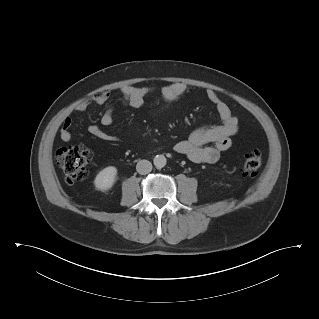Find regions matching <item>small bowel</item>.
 Segmentation results:
<instances>
[{
	"mask_svg": "<svg viewBox=\"0 0 319 319\" xmlns=\"http://www.w3.org/2000/svg\"><path fill=\"white\" fill-rule=\"evenodd\" d=\"M187 91V86L182 82H174L164 86H123L120 92L124 102L131 107H140L144 104L148 95L157 92L160 94L165 107L171 106ZM206 96L218 113L221 123L217 125H204L193 130L187 139L181 140L174 145V150L193 162L213 163L222 153L227 151L232 144V137L238 130V119L232 113L229 106L214 90H207ZM108 91L94 94L90 99L77 104L75 110L85 112L91 103L104 105L110 100ZM114 121V109L107 108L100 117L102 126H110ZM72 120L66 117L61 125L59 136L64 142L72 139L70 131ZM88 132L101 140L116 142L118 138L106 132L101 126L92 124Z\"/></svg>",
	"mask_w": 319,
	"mask_h": 319,
	"instance_id": "obj_1",
	"label": "small bowel"
}]
</instances>
